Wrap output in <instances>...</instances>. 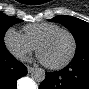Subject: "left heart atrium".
Masks as SVG:
<instances>
[{
  "instance_id": "left-heart-atrium-1",
  "label": "left heart atrium",
  "mask_w": 89,
  "mask_h": 89,
  "mask_svg": "<svg viewBox=\"0 0 89 89\" xmlns=\"http://www.w3.org/2000/svg\"><path fill=\"white\" fill-rule=\"evenodd\" d=\"M37 59L41 63H46L45 60L43 59V57L40 54H38Z\"/></svg>"
}]
</instances>
